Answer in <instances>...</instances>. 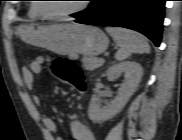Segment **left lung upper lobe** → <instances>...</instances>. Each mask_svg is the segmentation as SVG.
<instances>
[{
	"mask_svg": "<svg viewBox=\"0 0 182 140\" xmlns=\"http://www.w3.org/2000/svg\"><path fill=\"white\" fill-rule=\"evenodd\" d=\"M97 1H98V0H93V4L90 5V7H89L87 10H89L90 8H92V7L95 5V3H96ZM87 10L82 11V12H80L79 14H82V13L86 12Z\"/></svg>",
	"mask_w": 182,
	"mask_h": 140,
	"instance_id": "left-lung-upper-lobe-1",
	"label": "left lung upper lobe"
}]
</instances>
